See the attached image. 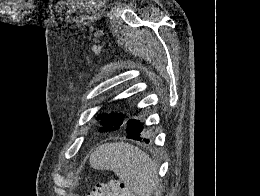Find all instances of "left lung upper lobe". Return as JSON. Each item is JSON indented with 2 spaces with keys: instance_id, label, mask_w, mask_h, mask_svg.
<instances>
[{
  "instance_id": "obj_1",
  "label": "left lung upper lobe",
  "mask_w": 260,
  "mask_h": 196,
  "mask_svg": "<svg viewBox=\"0 0 260 196\" xmlns=\"http://www.w3.org/2000/svg\"><path fill=\"white\" fill-rule=\"evenodd\" d=\"M139 113H140V111L136 110V111L132 112L130 114V116L127 117L126 119L121 120V121H117V122H104V121H102V125H104V126L101 127L99 129V131L100 132H108V131H115V130H119V129H124V128L127 127L128 122L131 121V120L141 122L140 120L132 119L133 117H138ZM102 116H99L98 119H100Z\"/></svg>"
}]
</instances>
